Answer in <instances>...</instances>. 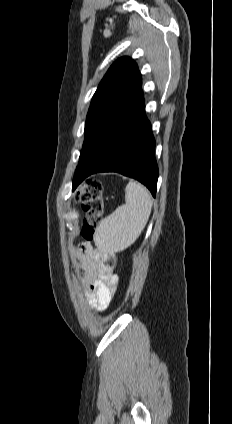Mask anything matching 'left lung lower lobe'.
I'll list each match as a JSON object with an SVG mask.
<instances>
[{
	"label": "left lung lower lobe",
	"mask_w": 232,
	"mask_h": 424,
	"mask_svg": "<svg viewBox=\"0 0 232 424\" xmlns=\"http://www.w3.org/2000/svg\"><path fill=\"white\" fill-rule=\"evenodd\" d=\"M154 148L140 89L93 141L83 168L75 173L73 190L91 174L118 172L143 183L155 197L158 167Z\"/></svg>",
	"instance_id": "1"
}]
</instances>
